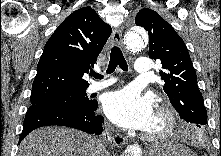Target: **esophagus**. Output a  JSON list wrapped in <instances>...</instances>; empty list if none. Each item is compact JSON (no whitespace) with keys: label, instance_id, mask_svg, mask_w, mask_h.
<instances>
[{"label":"esophagus","instance_id":"34e87169","mask_svg":"<svg viewBox=\"0 0 221 156\" xmlns=\"http://www.w3.org/2000/svg\"><path fill=\"white\" fill-rule=\"evenodd\" d=\"M112 41L118 46H122V31L120 29H114L111 35ZM113 142L115 146L122 147L128 143V139L120 134L113 136Z\"/></svg>","mask_w":221,"mask_h":156}]
</instances>
